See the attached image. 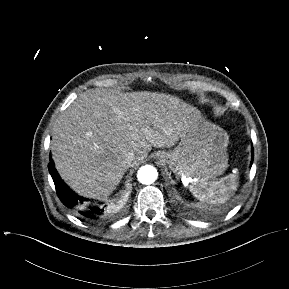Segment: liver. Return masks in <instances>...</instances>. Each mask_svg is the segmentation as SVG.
Here are the masks:
<instances>
[{
    "mask_svg": "<svg viewBox=\"0 0 289 289\" xmlns=\"http://www.w3.org/2000/svg\"><path fill=\"white\" fill-rule=\"evenodd\" d=\"M194 111L179 98L163 93L99 88L84 92L53 128L55 167L78 194L105 199L128 169L126 154L134 153L139 162L152 147H172Z\"/></svg>",
    "mask_w": 289,
    "mask_h": 289,
    "instance_id": "obj_1",
    "label": "liver"
}]
</instances>
